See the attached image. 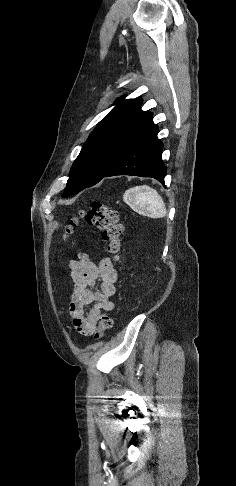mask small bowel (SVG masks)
Masks as SVG:
<instances>
[{
  "label": "small bowel",
  "instance_id": "c3829d8e",
  "mask_svg": "<svg viewBox=\"0 0 236 486\" xmlns=\"http://www.w3.org/2000/svg\"><path fill=\"white\" fill-rule=\"evenodd\" d=\"M74 290L69 306V315L74 328L84 336H91L97 321L105 311H112L115 304L117 271L109 258L94 261L82 257L70 263ZM99 282V289L95 286ZM89 307L86 311L85 308Z\"/></svg>",
  "mask_w": 236,
  "mask_h": 486
}]
</instances>
